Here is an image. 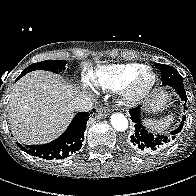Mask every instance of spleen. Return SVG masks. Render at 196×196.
<instances>
[{"label":"spleen","instance_id":"obj_1","mask_svg":"<svg viewBox=\"0 0 196 196\" xmlns=\"http://www.w3.org/2000/svg\"><path fill=\"white\" fill-rule=\"evenodd\" d=\"M173 121H174V116L167 115L166 117L160 120L145 119L144 124L152 131L162 132L165 129H167Z\"/></svg>","mask_w":196,"mask_h":196}]
</instances>
